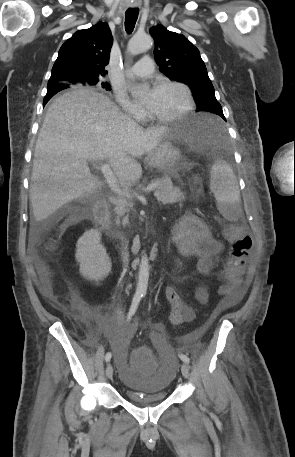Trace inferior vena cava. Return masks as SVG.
I'll return each instance as SVG.
<instances>
[{"label":"inferior vena cava","instance_id":"602c4592","mask_svg":"<svg viewBox=\"0 0 295 457\" xmlns=\"http://www.w3.org/2000/svg\"><path fill=\"white\" fill-rule=\"evenodd\" d=\"M127 247H128V243L125 245L124 252L122 253V255H123V262H124L125 268H126L127 265H128V257H129V253H128Z\"/></svg>","mask_w":295,"mask_h":457}]
</instances>
